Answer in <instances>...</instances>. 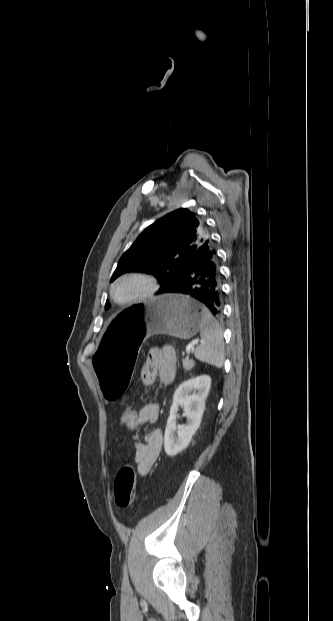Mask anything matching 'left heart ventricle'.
<instances>
[{"mask_svg": "<svg viewBox=\"0 0 333 621\" xmlns=\"http://www.w3.org/2000/svg\"><path fill=\"white\" fill-rule=\"evenodd\" d=\"M145 289L142 281L128 279L121 281L115 287V295L119 300H127L140 294Z\"/></svg>", "mask_w": 333, "mask_h": 621, "instance_id": "1", "label": "left heart ventricle"}]
</instances>
